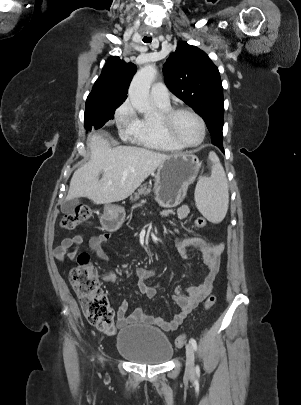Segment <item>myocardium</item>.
Segmentation results:
<instances>
[{
  "instance_id": "myocardium-1",
  "label": "myocardium",
  "mask_w": 301,
  "mask_h": 405,
  "mask_svg": "<svg viewBox=\"0 0 301 405\" xmlns=\"http://www.w3.org/2000/svg\"><path fill=\"white\" fill-rule=\"evenodd\" d=\"M181 113H189L192 116H194L199 122V125L201 127V137L198 142L194 144H187L183 142L175 133L174 131L175 119ZM158 125L160 131L163 133L164 136H166L168 139H170L171 141H173L182 148L191 149L199 147L204 142L206 137V124L203 118L195 110L188 107H178L161 112L158 117Z\"/></svg>"
}]
</instances>
